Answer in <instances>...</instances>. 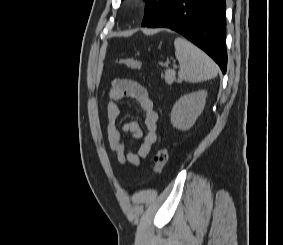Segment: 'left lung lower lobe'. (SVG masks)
Returning a JSON list of instances; mask_svg holds the SVG:
<instances>
[{"mask_svg": "<svg viewBox=\"0 0 283 245\" xmlns=\"http://www.w3.org/2000/svg\"><path fill=\"white\" fill-rule=\"evenodd\" d=\"M225 0H173L146 27L170 28L204 50L226 73Z\"/></svg>", "mask_w": 283, "mask_h": 245, "instance_id": "1", "label": "left lung lower lobe"}]
</instances>
